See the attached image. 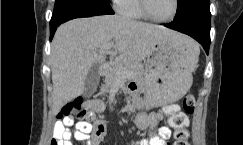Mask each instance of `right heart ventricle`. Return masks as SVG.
I'll return each instance as SVG.
<instances>
[{"mask_svg":"<svg viewBox=\"0 0 243 145\" xmlns=\"http://www.w3.org/2000/svg\"><path fill=\"white\" fill-rule=\"evenodd\" d=\"M119 13L130 19H144L145 16L139 8L138 0H122L117 6Z\"/></svg>","mask_w":243,"mask_h":145,"instance_id":"obj_1","label":"right heart ventricle"}]
</instances>
